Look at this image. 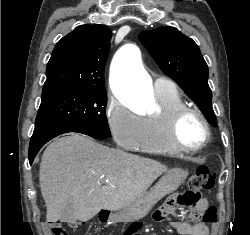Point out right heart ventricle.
<instances>
[{
  "instance_id": "obj_1",
  "label": "right heart ventricle",
  "mask_w": 250,
  "mask_h": 235,
  "mask_svg": "<svg viewBox=\"0 0 250 235\" xmlns=\"http://www.w3.org/2000/svg\"><path fill=\"white\" fill-rule=\"evenodd\" d=\"M158 109L142 118V138L137 150L146 153L176 155L180 151L173 146L168 135V120L172 111L184 105L177 89L156 91Z\"/></svg>"
}]
</instances>
